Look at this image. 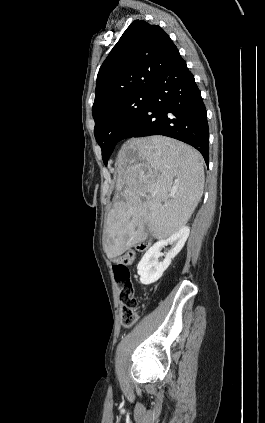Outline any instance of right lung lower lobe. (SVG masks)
<instances>
[{
	"mask_svg": "<svg viewBox=\"0 0 265 423\" xmlns=\"http://www.w3.org/2000/svg\"><path fill=\"white\" fill-rule=\"evenodd\" d=\"M150 100L124 131L130 137L165 135L196 148L209 164V129L206 108L194 76L178 53L150 89Z\"/></svg>",
	"mask_w": 265,
	"mask_h": 423,
	"instance_id": "obj_1",
	"label": "right lung lower lobe"
}]
</instances>
